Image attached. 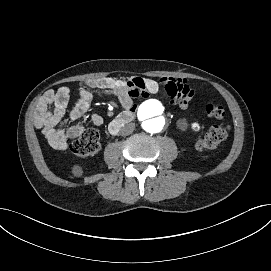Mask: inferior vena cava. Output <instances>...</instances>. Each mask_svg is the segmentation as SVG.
<instances>
[{
	"instance_id": "obj_1",
	"label": "inferior vena cava",
	"mask_w": 271,
	"mask_h": 271,
	"mask_svg": "<svg viewBox=\"0 0 271 271\" xmlns=\"http://www.w3.org/2000/svg\"><path fill=\"white\" fill-rule=\"evenodd\" d=\"M128 127H131V125H130V124L125 125L124 128H123V130H124V129H127ZM129 130H130V129H129ZM130 131H131V130H130ZM122 133H123V134H126V132H122Z\"/></svg>"
}]
</instances>
